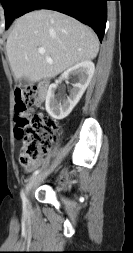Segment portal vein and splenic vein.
<instances>
[{
	"instance_id": "18ae733b",
	"label": "portal vein and splenic vein",
	"mask_w": 133,
	"mask_h": 253,
	"mask_svg": "<svg viewBox=\"0 0 133 253\" xmlns=\"http://www.w3.org/2000/svg\"><path fill=\"white\" fill-rule=\"evenodd\" d=\"M38 52L40 53V54H45V49L44 48H39L38 49ZM46 59H47V61L49 62V63H52L53 61H52V59L50 58V57H46Z\"/></svg>"
}]
</instances>
